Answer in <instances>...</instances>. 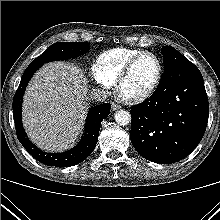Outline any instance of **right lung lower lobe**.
Here are the masks:
<instances>
[{"mask_svg":"<svg viewBox=\"0 0 220 220\" xmlns=\"http://www.w3.org/2000/svg\"><path fill=\"white\" fill-rule=\"evenodd\" d=\"M41 66L29 65L24 71L19 87L13 99V114L16 127L17 137L23 147L39 162L55 167H68L76 165L84 161L94 150L97 141L101 121L105 119L109 113L111 105L110 103L100 104L92 107L89 110L86 124L85 133L81 141L72 149L63 153H45L37 148L30 140L23 129L21 120V106L23 94L26 86L31 79L32 75Z\"/></svg>","mask_w":220,"mask_h":220,"instance_id":"98d812e1","label":"right lung lower lobe"}]
</instances>
